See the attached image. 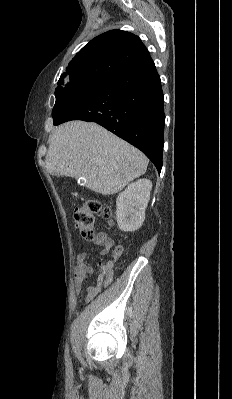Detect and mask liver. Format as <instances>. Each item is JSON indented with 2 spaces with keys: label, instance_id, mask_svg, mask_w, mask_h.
<instances>
[{
  "label": "liver",
  "instance_id": "obj_1",
  "mask_svg": "<svg viewBox=\"0 0 232 399\" xmlns=\"http://www.w3.org/2000/svg\"><path fill=\"white\" fill-rule=\"evenodd\" d=\"M148 158L92 122H67L54 130L45 160L51 176L85 178V186L104 196L121 192L143 176Z\"/></svg>",
  "mask_w": 232,
  "mask_h": 399
}]
</instances>
